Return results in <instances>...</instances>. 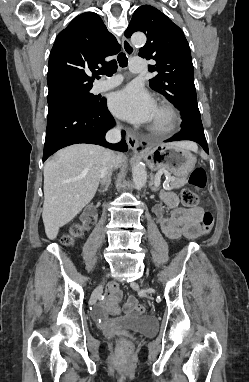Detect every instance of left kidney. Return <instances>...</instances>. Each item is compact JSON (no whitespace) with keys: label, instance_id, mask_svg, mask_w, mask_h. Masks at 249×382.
<instances>
[{"label":"left kidney","instance_id":"obj_1","mask_svg":"<svg viewBox=\"0 0 249 382\" xmlns=\"http://www.w3.org/2000/svg\"><path fill=\"white\" fill-rule=\"evenodd\" d=\"M154 205L156 208H162L164 204L162 201H156Z\"/></svg>","mask_w":249,"mask_h":382}]
</instances>
